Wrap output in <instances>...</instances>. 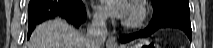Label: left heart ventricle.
I'll use <instances>...</instances> for the list:
<instances>
[{"mask_svg":"<svg viewBox=\"0 0 213 48\" xmlns=\"http://www.w3.org/2000/svg\"><path fill=\"white\" fill-rule=\"evenodd\" d=\"M130 14H131V10L129 9V14H128V16H130Z\"/></svg>","mask_w":213,"mask_h":48,"instance_id":"1","label":"left heart ventricle"}]
</instances>
